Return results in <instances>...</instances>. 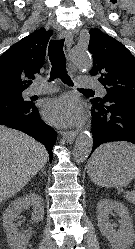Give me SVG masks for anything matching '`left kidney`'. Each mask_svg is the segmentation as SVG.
<instances>
[{"label": "left kidney", "instance_id": "1", "mask_svg": "<svg viewBox=\"0 0 135 249\" xmlns=\"http://www.w3.org/2000/svg\"><path fill=\"white\" fill-rule=\"evenodd\" d=\"M112 211L120 218L117 231L114 229L115 225L109 220V214ZM97 220L100 232L109 240L112 249H128L132 246L135 241L133 222L124 204L107 198L100 200L97 204Z\"/></svg>", "mask_w": 135, "mask_h": 249}]
</instances>
